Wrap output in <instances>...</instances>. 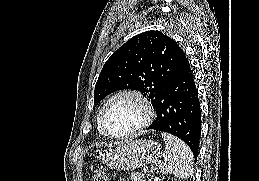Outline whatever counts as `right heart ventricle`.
<instances>
[{"label": "right heart ventricle", "instance_id": "1", "mask_svg": "<svg viewBox=\"0 0 259 181\" xmlns=\"http://www.w3.org/2000/svg\"><path fill=\"white\" fill-rule=\"evenodd\" d=\"M98 128H99V132H100L101 134H104L103 131H102V129H101V127H100V125H99V115H98Z\"/></svg>", "mask_w": 259, "mask_h": 181}]
</instances>
